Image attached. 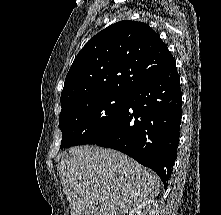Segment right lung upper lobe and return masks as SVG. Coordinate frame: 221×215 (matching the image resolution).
<instances>
[{
  "label": "right lung upper lobe",
  "instance_id": "cb5924a9",
  "mask_svg": "<svg viewBox=\"0 0 221 215\" xmlns=\"http://www.w3.org/2000/svg\"><path fill=\"white\" fill-rule=\"evenodd\" d=\"M173 60L149 25L117 22L92 37L76 56L65 79L61 107L109 93L128 94Z\"/></svg>",
  "mask_w": 221,
  "mask_h": 215
}]
</instances>
